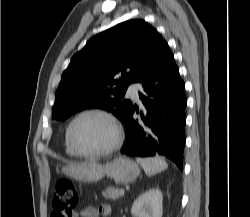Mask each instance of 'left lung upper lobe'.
Returning <instances> with one entry per match:
<instances>
[{
  "label": "left lung upper lobe",
  "instance_id": "5c2ea615",
  "mask_svg": "<svg viewBox=\"0 0 250 217\" xmlns=\"http://www.w3.org/2000/svg\"><path fill=\"white\" fill-rule=\"evenodd\" d=\"M164 39L144 20L120 23L90 39L62 74L52 118L65 120L87 108L113 112L122 122L132 103L123 99L153 63Z\"/></svg>",
  "mask_w": 250,
  "mask_h": 217
}]
</instances>
